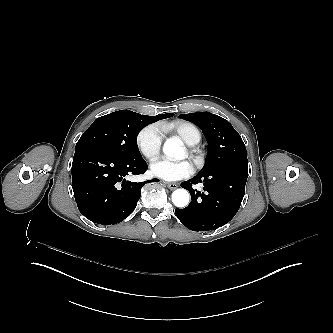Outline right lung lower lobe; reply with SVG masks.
Instances as JSON below:
<instances>
[{
    "label": "right lung lower lobe",
    "mask_w": 333,
    "mask_h": 333,
    "mask_svg": "<svg viewBox=\"0 0 333 333\" xmlns=\"http://www.w3.org/2000/svg\"><path fill=\"white\" fill-rule=\"evenodd\" d=\"M147 168L143 158L127 160L100 146H76L72 188L79 211L97 224L123 221L135 209L141 188L148 182L133 183L125 178L131 174H144Z\"/></svg>",
    "instance_id": "98d812e1"
}]
</instances>
